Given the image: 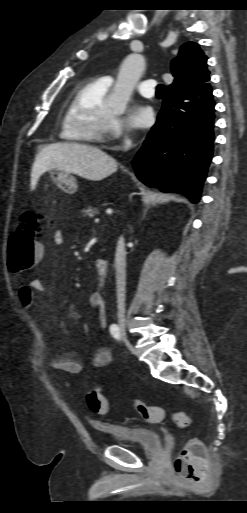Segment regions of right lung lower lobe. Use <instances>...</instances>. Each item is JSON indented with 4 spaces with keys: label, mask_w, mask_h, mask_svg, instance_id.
<instances>
[{
    "label": "right lung lower lobe",
    "mask_w": 247,
    "mask_h": 513,
    "mask_svg": "<svg viewBox=\"0 0 247 513\" xmlns=\"http://www.w3.org/2000/svg\"><path fill=\"white\" fill-rule=\"evenodd\" d=\"M214 107L210 84L195 92L166 91L156 124L132 162L137 177L197 202L213 153Z\"/></svg>",
    "instance_id": "right-lung-lower-lobe-1"
}]
</instances>
